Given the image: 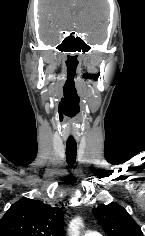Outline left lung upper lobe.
I'll list each match as a JSON object with an SVG mask.
<instances>
[{
    "label": "left lung upper lobe",
    "mask_w": 145,
    "mask_h": 236,
    "mask_svg": "<svg viewBox=\"0 0 145 236\" xmlns=\"http://www.w3.org/2000/svg\"><path fill=\"white\" fill-rule=\"evenodd\" d=\"M93 213L108 236H143L139 225L118 204L101 205Z\"/></svg>",
    "instance_id": "left-lung-upper-lobe-1"
}]
</instances>
